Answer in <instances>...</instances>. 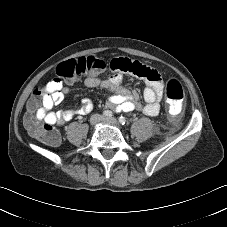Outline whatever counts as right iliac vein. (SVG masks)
<instances>
[{"instance_id":"right-iliac-vein-1","label":"right iliac vein","mask_w":227,"mask_h":227,"mask_svg":"<svg viewBox=\"0 0 227 227\" xmlns=\"http://www.w3.org/2000/svg\"><path fill=\"white\" fill-rule=\"evenodd\" d=\"M102 120V116L99 115V114H96V115H93L91 118H90V124L91 125H96L98 124L99 122H101Z\"/></svg>"}]
</instances>
